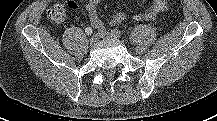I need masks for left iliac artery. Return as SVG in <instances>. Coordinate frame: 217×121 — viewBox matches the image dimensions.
I'll return each instance as SVG.
<instances>
[{"label": "left iliac artery", "instance_id": "left-iliac-artery-1", "mask_svg": "<svg viewBox=\"0 0 217 121\" xmlns=\"http://www.w3.org/2000/svg\"><path fill=\"white\" fill-rule=\"evenodd\" d=\"M111 32L114 33L118 37L122 36V32L118 30L117 28H114Z\"/></svg>", "mask_w": 217, "mask_h": 121}]
</instances>
